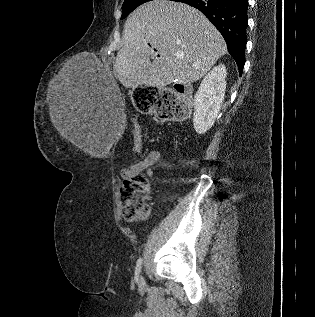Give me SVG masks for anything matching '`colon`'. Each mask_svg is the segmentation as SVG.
I'll use <instances>...</instances> for the list:
<instances>
[{"instance_id": "colon-1", "label": "colon", "mask_w": 315, "mask_h": 317, "mask_svg": "<svg viewBox=\"0 0 315 317\" xmlns=\"http://www.w3.org/2000/svg\"><path fill=\"white\" fill-rule=\"evenodd\" d=\"M157 97L156 114L164 120H182L189 114L190 105L182 89H161ZM142 134L138 127L134 131V150L139 152ZM150 192V180L147 174L138 172L123 181L121 187L122 213L125 220L134 222L149 216L150 207L147 197Z\"/></svg>"}]
</instances>
